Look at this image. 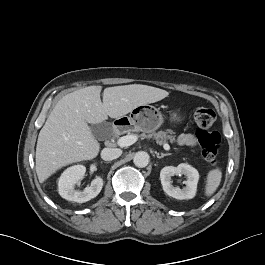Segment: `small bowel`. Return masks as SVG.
<instances>
[{
  "mask_svg": "<svg viewBox=\"0 0 265 265\" xmlns=\"http://www.w3.org/2000/svg\"><path fill=\"white\" fill-rule=\"evenodd\" d=\"M177 142L182 146H194L196 144V139L192 134H181Z\"/></svg>",
  "mask_w": 265,
  "mask_h": 265,
  "instance_id": "1",
  "label": "small bowel"
}]
</instances>
